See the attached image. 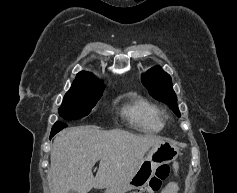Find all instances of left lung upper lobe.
<instances>
[{"label":"left lung upper lobe","instance_id":"5c2ea615","mask_svg":"<svg viewBox=\"0 0 237 193\" xmlns=\"http://www.w3.org/2000/svg\"><path fill=\"white\" fill-rule=\"evenodd\" d=\"M142 82L155 99L165 102L177 116H180L176 103L177 98L172 88L171 77L161 67L157 66L148 70L142 76Z\"/></svg>","mask_w":237,"mask_h":193}]
</instances>
